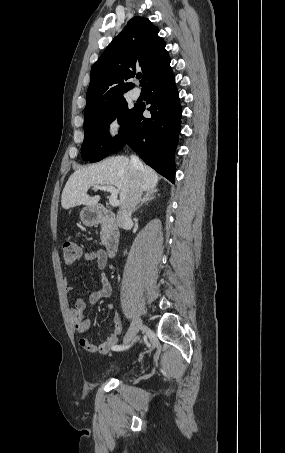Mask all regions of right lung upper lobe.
<instances>
[{
  "instance_id": "obj_1",
  "label": "right lung upper lobe",
  "mask_w": 285,
  "mask_h": 453,
  "mask_svg": "<svg viewBox=\"0 0 285 453\" xmlns=\"http://www.w3.org/2000/svg\"><path fill=\"white\" fill-rule=\"evenodd\" d=\"M159 29L148 18L133 17L91 68L84 114L124 97L133 87L127 80L141 67L142 85L170 67V57Z\"/></svg>"
}]
</instances>
